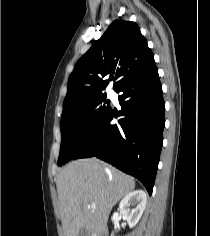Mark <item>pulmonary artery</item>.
Returning a JSON list of instances; mask_svg holds the SVG:
<instances>
[{"label": "pulmonary artery", "mask_w": 210, "mask_h": 236, "mask_svg": "<svg viewBox=\"0 0 210 236\" xmlns=\"http://www.w3.org/2000/svg\"><path fill=\"white\" fill-rule=\"evenodd\" d=\"M109 96L110 97H113L114 96V93L112 91H109Z\"/></svg>", "instance_id": "pulmonary-artery-1"}]
</instances>
